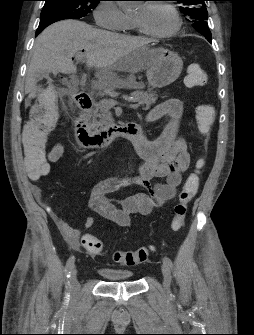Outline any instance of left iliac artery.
I'll return each instance as SVG.
<instances>
[{
	"label": "left iliac artery",
	"mask_w": 254,
	"mask_h": 335,
	"mask_svg": "<svg viewBox=\"0 0 254 335\" xmlns=\"http://www.w3.org/2000/svg\"><path fill=\"white\" fill-rule=\"evenodd\" d=\"M163 263H164L168 268L172 269V267H173V263H172V261H171L170 258H168V257H164V258H163Z\"/></svg>",
	"instance_id": "left-iliac-artery-1"
}]
</instances>
